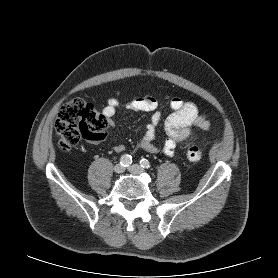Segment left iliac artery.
<instances>
[{
  "label": "left iliac artery",
  "mask_w": 278,
  "mask_h": 278,
  "mask_svg": "<svg viewBox=\"0 0 278 278\" xmlns=\"http://www.w3.org/2000/svg\"><path fill=\"white\" fill-rule=\"evenodd\" d=\"M140 165L142 168H145V169L150 168V162L144 158L140 160Z\"/></svg>",
  "instance_id": "left-iliac-artery-1"
}]
</instances>
